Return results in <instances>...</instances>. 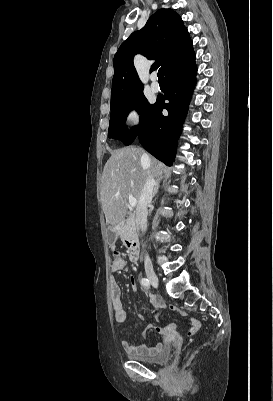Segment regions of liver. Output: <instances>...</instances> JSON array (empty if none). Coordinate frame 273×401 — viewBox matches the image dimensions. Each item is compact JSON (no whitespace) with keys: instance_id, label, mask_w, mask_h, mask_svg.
I'll return each instance as SVG.
<instances>
[{"instance_id":"liver-1","label":"liver","mask_w":273,"mask_h":401,"mask_svg":"<svg viewBox=\"0 0 273 401\" xmlns=\"http://www.w3.org/2000/svg\"><path fill=\"white\" fill-rule=\"evenodd\" d=\"M143 148L125 146L112 152L102 172L100 194L106 225H118L127 213V198L133 194L138 203L141 190L147 180V168L151 176L161 178L164 164L149 156L150 164L142 160Z\"/></svg>"}]
</instances>
